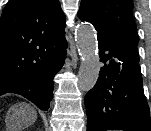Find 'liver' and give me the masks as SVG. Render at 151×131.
Wrapping results in <instances>:
<instances>
[{
    "instance_id": "obj_1",
    "label": "liver",
    "mask_w": 151,
    "mask_h": 131,
    "mask_svg": "<svg viewBox=\"0 0 151 131\" xmlns=\"http://www.w3.org/2000/svg\"><path fill=\"white\" fill-rule=\"evenodd\" d=\"M37 118L36 112L34 110H32V115H31V119H28V123H30V121H35Z\"/></svg>"
}]
</instances>
